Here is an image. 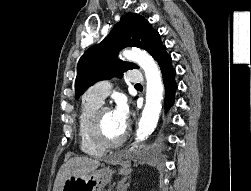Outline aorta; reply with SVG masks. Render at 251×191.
Here are the masks:
<instances>
[{"label": "aorta", "instance_id": "762f6f07", "mask_svg": "<svg viewBox=\"0 0 251 191\" xmlns=\"http://www.w3.org/2000/svg\"><path fill=\"white\" fill-rule=\"evenodd\" d=\"M123 58L129 62H135L143 68L146 78V103L142 111V117L138 123L136 139L143 141L154 131L161 111V103L164 96V86L161 82V72L153 58L145 50H124Z\"/></svg>", "mask_w": 251, "mask_h": 191}]
</instances>
